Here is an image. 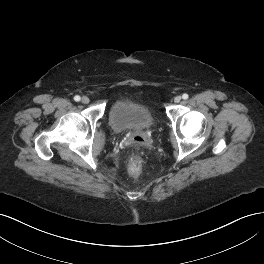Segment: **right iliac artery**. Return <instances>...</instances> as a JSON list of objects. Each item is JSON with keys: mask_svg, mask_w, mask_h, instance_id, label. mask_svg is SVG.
Wrapping results in <instances>:
<instances>
[{"mask_svg": "<svg viewBox=\"0 0 264 264\" xmlns=\"http://www.w3.org/2000/svg\"><path fill=\"white\" fill-rule=\"evenodd\" d=\"M74 100L77 101V102L80 101V96L76 95V96L74 97Z\"/></svg>", "mask_w": 264, "mask_h": 264, "instance_id": "1", "label": "right iliac artery"}]
</instances>
